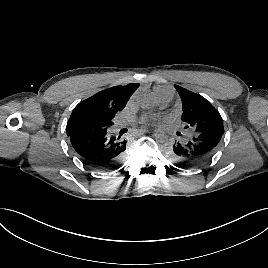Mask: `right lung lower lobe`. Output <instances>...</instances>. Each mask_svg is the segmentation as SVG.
Segmentation results:
<instances>
[{"label":"right lung lower lobe","mask_w":268,"mask_h":268,"mask_svg":"<svg viewBox=\"0 0 268 268\" xmlns=\"http://www.w3.org/2000/svg\"><path fill=\"white\" fill-rule=\"evenodd\" d=\"M71 144L79 158L86 165L100 170L118 166L126 150V140L107 135V132L88 135L71 134Z\"/></svg>","instance_id":"98d812e1"}]
</instances>
